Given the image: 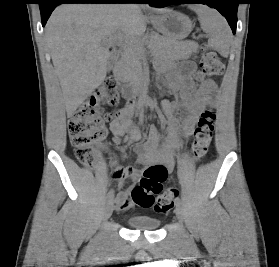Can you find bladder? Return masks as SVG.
I'll list each match as a JSON object with an SVG mask.
<instances>
[{
  "label": "bladder",
  "instance_id": "31cf9c89",
  "mask_svg": "<svg viewBox=\"0 0 279 267\" xmlns=\"http://www.w3.org/2000/svg\"><path fill=\"white\" fill-rule=\"evenodd\" d=\"M127 224L135 230H156L159 228L161 221L145 215H135L127 219Z\"/></svg>",
  "mask_w": 279,
  "mask_h": 267
}]
</instances>
